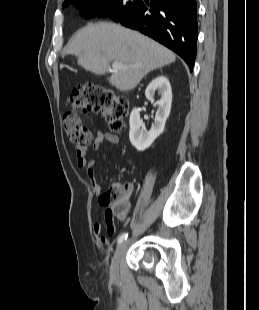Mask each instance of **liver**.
<instances>
[{
    "label": "liver",
    "mask_w": 259,
    "mask_h": 310,
    "mask_svg": "<svg viewBox=\"0 0 259 310\" xmlns=\"http://www.w3.org/2000/svg\"><path fill=\"white\" fill-rule=\"evenodd\" d=\"M63 52L75 55L80 66L96 75L107 73L111 61L127 66L109 78L120 91L134 89L150 71L176 60L175 54L158 42L113 23L80 29Z\"/></svg>",
    "instance_id": "6515ba94"
}]
</instances>
